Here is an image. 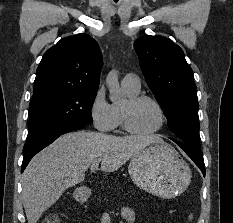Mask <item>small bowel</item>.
I'll return each mask as SVG.
<instances>
[{
    "label": "small bowel",
    "instance_id": "small-bowel-1",
    "mask_svg": "<svg viewBox=\"0 0 233 223\" xmlns=\"http://www.w3.org/2000/svg\"><path fill=\"white\" fill-rule=\"evenodd\" d=\"M121 218L125 223H134L135 213L130 207L125 206L121 209ZM103 223H109V217H104Z\"/></svg>",
    "mask_w": 233,
    "mask_h": 223
}]
</instances>
